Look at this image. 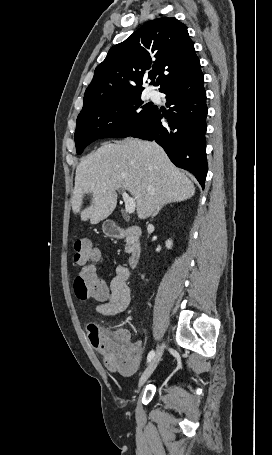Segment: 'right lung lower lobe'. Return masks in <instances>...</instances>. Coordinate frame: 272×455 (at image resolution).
<instances>
[{"instance_id": "98d812e1", "label": "right lung lower lobe", "mask_w": 272, "mask_h": 455, "mask_svg": "<svg viewBox=\"0 0 272 455\" xmlns=\"http://www.w3.org/2000/svg\"><path fill=\"white\" fill-rule=\"evenodd\" d=\"M203 81L199 71L163 90L168 114L156 108L130 136L156 141L177 167L194 174L204 188L208 170L205 141L208 108ZM163 118L166 123L161 122Z\"/></svg>"}]
</instances>
